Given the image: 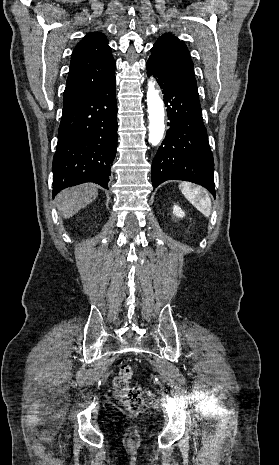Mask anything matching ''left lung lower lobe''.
<instances>
[{
    "label": "left lung lower lobe",
    "instance_id": "1",
    "mask_svg": "<svg viewBox=\"0 0 279 465\" xmlns=\"http://www.w3.org/2000/svg\"><path fill=\"white\" fill-rule=\"evenodd\" d=\"M148 76L153 75L164 94L169 129L152 162V184L177 179L200 184L214 196V160L202 121L196 80L149 59Z\"/></svg>",
    "mask_w": 279,
    "mask_h": 465
}]
</instances>
